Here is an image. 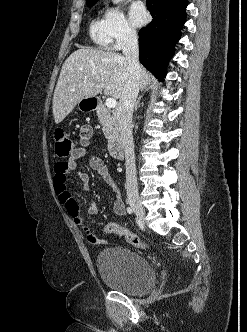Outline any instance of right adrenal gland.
<instances>
[{
  "label": "right adrenal gland",
  "mask_w": 247,
  "mask_h": 332,
  "mask_svg": "<svg viewBox=\"0 0 247 332\" xmlns=\"http://www.w3.org/2000/svg\"><path fill=\"white\" fill-rule=\"evenodd\" d=\"M143 96H140L137 101L135 102V107H134V110L136 111L138 109V107H140V100ZM143 106V104L141 105Z\"/></svg>",
  "instance_id": "1"
}]
</instances>
